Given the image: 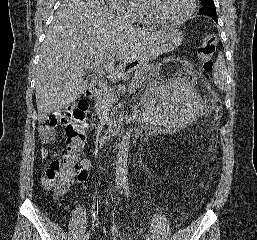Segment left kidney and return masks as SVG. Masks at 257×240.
<instances>
[{"instance_id": "1", "label": "left kidney", "mask_w": 257, "mask_h": 240, "mask_svg": "<svg viewBox=\"0 0 257 240\" xmlns=\"http://www.w3.org/2000/svg\"><path fill=\"white\" fill-rule=\"evenodd\" d=\"M199 101L192 85L175 79L155 91V119L169 130H182L200 116Z\"/></svg>"}]
</instances>
